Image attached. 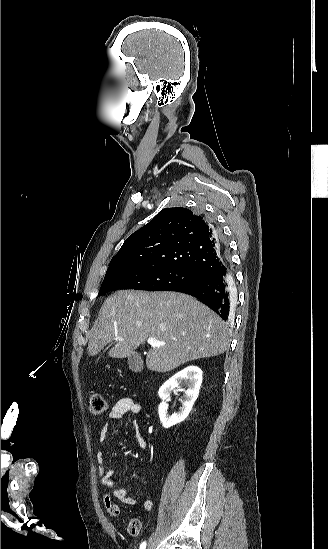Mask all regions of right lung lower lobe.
<instances>
[{"label": "right lung lower lobe", "instance_id": "obj_1", "mask_svg": "<svg viewBox=\"0 0 328 549\" xmlns=\"http://www.w3.org/2000/svg\"><path fill=\"white\" fill-rule=\"evenodd\" d=\"M220 240L221 236L219 234V241ZM224 261L225 263L218 271L204 275L199 280L177 287L172 291L187 293L199 298L224 321H228L230 312V291L233 289L234 283L229 270L228 258L226 257Z\"/></svg>", "mask_w": 328, "mask_h": 549}]
</instances>
